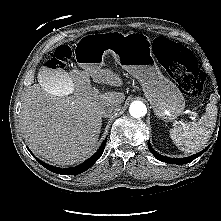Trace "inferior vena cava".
<instances>
[{
    "label": "inferior vena cava",
    "instance_id": "inferior-vena-cava-1",
    "mask_svg": "<svg viewBox=\"0 0 221 221\" xmlns=\"http://www.w3.org/2000/svg\"><path fill=\"white\" fill-rule=\"evenodd\" d=\"M120 104H108L104 106L101 110L102 116L103 117H111L112 115L116 114L118 111H120Z\"/></svg>",
    "mask_w": 221,
    "mask_h": 221
}]
</instances>
